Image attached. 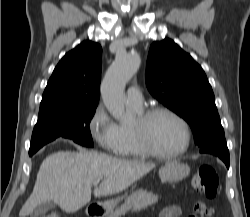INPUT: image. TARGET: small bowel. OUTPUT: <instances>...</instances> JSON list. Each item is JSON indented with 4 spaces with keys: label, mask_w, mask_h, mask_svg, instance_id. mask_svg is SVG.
<instances>
[{
    "label": "small bowel",
    "mask_w": 250,
    "mask_h": 217,
    "mask_svg": "<svg viewBox=\"0 0 250 217\" xmlns=\"http://www.w3.org/2000/svg\"><path fill=\"white\" fill-rule=\"evenodd\" d=\"M181 209L177 205L167 206L160 212V217H180Z\"/></svg>",
    "instance_id": "1"
}]
</instances>
